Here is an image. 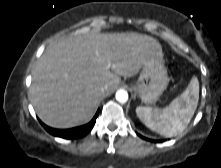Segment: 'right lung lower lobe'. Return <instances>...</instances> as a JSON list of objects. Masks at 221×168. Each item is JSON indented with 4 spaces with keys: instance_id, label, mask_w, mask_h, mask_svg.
<instances>
[{
    "instance_id": "obj_1",
    "label": "right lung lower lobe",
    "mask_w": 221,
    "mask_h": 168,
    "mask_svg": "<svg viewBox=\"0 0 221 168\" xmlns=\"http://www.w3.org/2000/svg\"><path fill=\"white\" fill-rule=\"evenodd\" d=\"M98 114H99V111H97L96 115L94 116V118L91 120L90 123L83 125V126L71 128V129H53V128L46 126L41 121L40 123L46 129V131H48L50 134L54 136L65 138V139H77V138H81L85 136L91 131V129L93 128L96 122V118L98 117Z\"/></svg>"
}]
</instances>
